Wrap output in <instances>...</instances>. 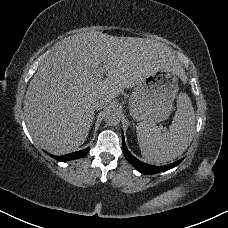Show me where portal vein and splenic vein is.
<instances>
[{"label": "portal vein and splenic vein", "mask_w": 228, "mask_h": 228, "mask_svg": "<svg viewBox=\"0 0 228 228\" xmlns=\"http://www.w3.org/2000/svg\"><path fill=\"white\" fill-rule=\"evenodd\" d=\"M106 73L105 71V65H103L102 67L99 68V78H103V75Z\"/></svg>", "instance_id": "18ae733b"}]
</instances>
